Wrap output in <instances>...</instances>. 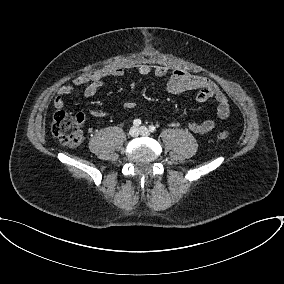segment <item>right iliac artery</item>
Instances as JSON below:
<instances>
[{
    "instance_id": "82829eb1",
    "label": "right iliac artery",
    "mask_w": 284,
    "mask_h": 284,
    "mask_svg": "<svg viewBox=\"0 0 284 284\" xmlns=\"http://www.w3.org/2000/svg\"><path fill=\"white\" fill-rule=\"evenodd\" d=\"M133 125H134V126H140V125H141V120H140V119H135V120L133 121Z\"/></svg>"
}]
</instances>
